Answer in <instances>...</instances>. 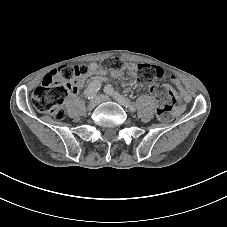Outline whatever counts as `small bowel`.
Returning a JSON list of instances; mask_svg holds the SVG:
<instances>
[{"label": "small bowel", "mask_w": 227, "mask_h": 227, "mask_svg": "<svg viewBox=\"0 0 227 227\" xmlns=\"http://www.w3.org/2000/svg\"><path fill=\"white\" fill-rule=\"evenodd\" d=\"M136 65L135 63H127V70L129 71V73L133 76H136ZM106 71L97 63H93L89 66V71H88V75H92V76H103L105 75ZM114 75H119L115 72H113ZM173 82L176 84V86L178 87V89L180 90L182 99L186 102L189 100V96L188 94L185 92L181 82L178 80V78L176 77H172ZM83 82V81H82ZM76 92V91H75ZM179 111V110H177Z\"/></svg>", "instance_id": "small-bowel-1"}]
</instances>
